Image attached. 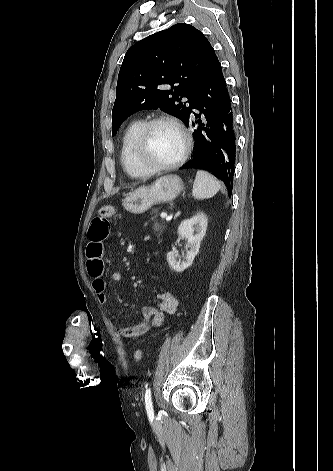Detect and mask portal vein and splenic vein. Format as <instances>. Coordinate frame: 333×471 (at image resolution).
I'll list each match as a JSON object with an SVG mask.
<instances>
[{"label":"portal vein and splenic vein","instance_id":"portal-vein-and-splenic-vein-1","mask_svg":"<svg viewBox=\"0 0 333 471\" xmlns=\"http://www.w3.org/2000/svg\"><path fill=\"white\" fill-rule=\"evenodd\" d=\"M160 217L163 218V219H166V220H170V218L168 217L167 213H165V212H162V213L160 214Z\"/></svg>","mask_w":333,"mask_h":471}]
</instances>
